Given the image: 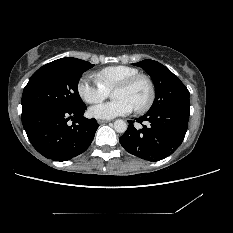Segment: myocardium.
<instances>
[{
	"label": "myocardium",
	"instance_id": "f54148a6",
	"mask_svg": "<svg viewBox=\"0 0 233 233\" xmlns=\"http://www.w3.org/2000/svg\"><path fill=\"white\" fill-rule=\"evenodd\" d=\"M139 80H143L146 82V84L148 86V96H147V99L144 102V104L138 108H135L134 111L137 113H144L150 109V107L152 106L154 99H155V84H154L153 80L151 79V77H149L146 74H142V73L135 74V75L130 76L127 79L121 81L120 83H118L114 87V90L115 89H128Z\"/></svg>",
	"mask_w": 233,
	"mask_h": 233
}]
</instances>
